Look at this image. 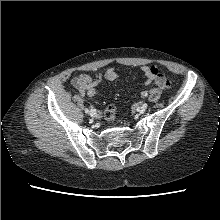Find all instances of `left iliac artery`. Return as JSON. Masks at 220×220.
I'll return each instance as SVG.
<instances>
[{"mask_svg": "<svg viewBox=\"0 0 220 220\" xmlns=\"http://www.w3.org/2000/svg\"><path fill=\"white\" fill-rule=\"evenodd\" d=\"M141 95H142L143 97H146V96L148 95V93H147V91H143V92L141 93Z\"/></svg>", "mask_w": 220, "mask_h": 220, "instance_id": "left-iliac-artery-1", "label": "left iliac artery"}]
</instances>
